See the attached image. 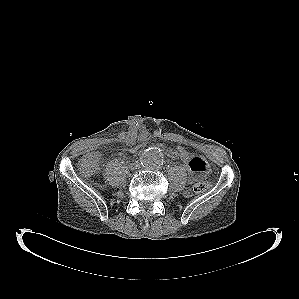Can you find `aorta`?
Masks as SVG:
<instances>
[{"instance_id":"obj_1","label":"aorta","mask_w":299,"mask_h":299,"mask_svg":"<svg viewBox=\"0 0 299 299\" xmlns=\"http://www.w3.org/2000/svg\"><path fill=\"white\" fill-rule=\"evenodd\" d=\"M141 163L146 168H157L163 164V153L159 147H149L141 154Z\"/></svg>"}]
</instances>
